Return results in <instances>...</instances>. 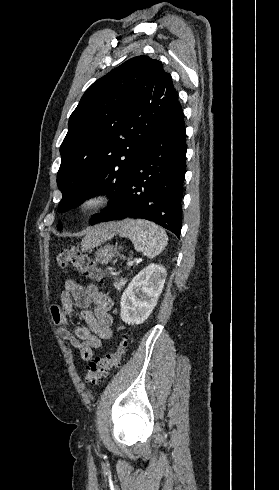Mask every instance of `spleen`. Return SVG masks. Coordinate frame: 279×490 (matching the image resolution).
<instances>
[{"label": "spleen", "mask_w": 279, "mask_h": 490, "mask_svg": "<svg viewBox=\"0 0 279 490\" xmlns=\"http://www.w3.org/2000/svg\"><path fill=\"white\" fill-rule=\"evenodd\" d=\"M121 238H129L137 252H143L147 258L159 256L168 244L165 230L148 220H124L119 230ZM108 238H104L105 242ZM101 244V242H100Z\"/></svg>", "instance_id": "1"}]
</instances>
